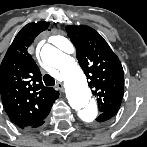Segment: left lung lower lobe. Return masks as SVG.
<instances>
[{"label":"left lung lower lobe","mask_w":147,"mask_h":147,"mask_svg":"<svg viewBox=\"0 0 147 147\" xmlns=\"http://www.w3.org/2000/svg\"><path fill=\"white\" fill-rule=\"evenodd\" d=\"M117 112L112 111V112H105V113H100V115L97 117V121L98 122H103V121H107L110 118H112Z\"/></svg>","instance_id":"1"}]
</instances>
